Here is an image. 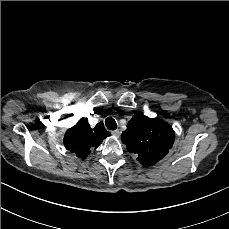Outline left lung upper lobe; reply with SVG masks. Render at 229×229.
Instances as JSON below:
<instances>
[{
	"label": "left lung upper lobe",
	"mask_w": 229,
	"mask_h": 229,
	"mask_svg": "<svg viewBox=\"0 0 229 229\" xmlns=\"http://www.w3.org/2000/svg\"><path fill=\"white\" fill-rule=\"evenodd\" d=\"M121 139L144 167H150L166 156L174 143L175 133L165 121L136 113Z\"/></svg>",
	"instance_id": "obj_1"
}]
</instances>
